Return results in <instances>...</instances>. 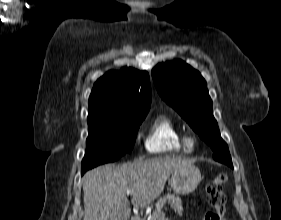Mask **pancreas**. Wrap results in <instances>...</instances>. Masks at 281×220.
Masks as SVG:
<instances>
[{
  "mask_svg": "<svg viewBox=\"0 0 281 220\" xmlns=\"http://www.w3.org/2000/svg\"><path fill=\"white\" fill-rule=\"evenodd\" d=\"M165 204H169L175 212H177L179 215H182L183 206L181 198L175 194H167L157 201L155 211L153 212L151 218L147 220H162V209Z\"/></svg>",
  "mask_w": 281,
  "mask_h": 220,
  "instance_id": "obj_1",
  "label": "pancreas"
}]
</instances>
